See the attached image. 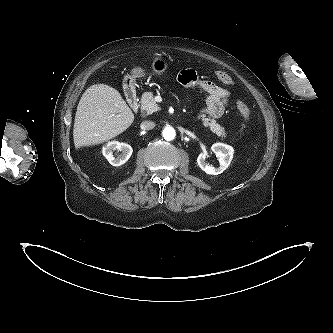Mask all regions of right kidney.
Returning <instances> with one entry per match:
<instances>
[{"label":"right kidney","instance_id":"1","mask_svg":"<svg viewBox=\"0 0 333 333\" xmlns=\"http://www.w3.org/2000/svg\"><path fill=\"white\" fill-rule=\"evenodd\" d=\"M120 151V154H113L114 151ZM133 149L126 143H120L118 141L108 142L102 148V153L108 162L113 166H120L124 164L132 155Z\"/></svg>","mask_w":333,"mask_h":333}]
</instances>
